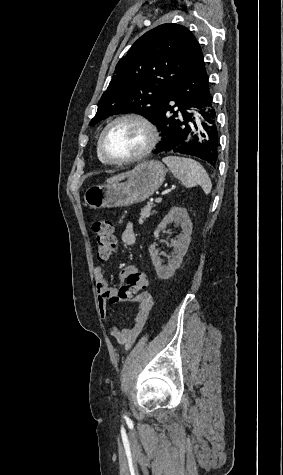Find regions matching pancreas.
<instances>
[{"instance_id": "pancreas-1", "label": "pancreas", "mask_w": 283, "mask_h": 475, "mask_svg": "<svg viewBox=\"0 0 283 475\" xmlns=\"http://www.w3.org/2000/svg\"><path fill=\"white\" fill-rule=\"evenodd\" d=\"M151 208H153V204H147V206H144V208H141L139 224H143L146 218H149L151 214Z\"/></svg>"}]
</instances>
